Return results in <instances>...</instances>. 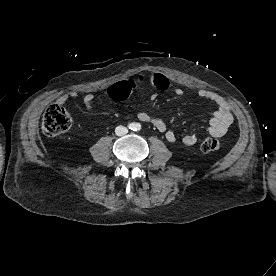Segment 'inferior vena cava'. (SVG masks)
Wrapping results in <instances>:
<instances>
[{
	"mask_svg": "<svg viewBox=\"0 0 276 276\" xmlns=\"http://www.w3.org/2000/svg\"><path fill=\"white\" fill-rule=\"evenodd\" d=\"M127 132H128V129L124 126H117L115 129V133L117 136L125 135L127 134Z\"/></svg>",
	"mask_w": 276,
	"mask_h": 276,
	"instance_id": "602c4592",
	"label": "inferior vena cava"
}]
</instances>
